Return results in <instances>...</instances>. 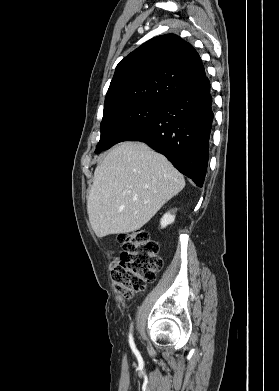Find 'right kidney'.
Segmentation results:
<instances>
[{"label": "right kidney", "mask_w": 279, "mask_h": 391, "mask_svg": "<svg viewBox=\"0 0 279 391\" xmlns=\"http://www.w3.org/2000/svg\"><path fill=\"white\" fill-rule=\"evenodd\" d=\"M174 220H175V215L171 214V212H167L161 218V221H160L161 228H165L166 226L172 224L174 222Z\"/></svg>", "instance_id": "right-kidney-1"}]
</instances>
